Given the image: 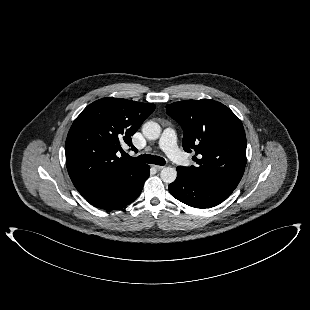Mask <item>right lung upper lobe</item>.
Instances as JSON below:
<instances>
[{
  "label": "right lung upper lobe",
  "instance_id": "cb5924a9",
  "mask_svg": "<svg viewBox=\"0 0 310 310\" xmlns=\"http://www.w3.org/2000/svg\"><path fill=\"white\" fill-rule=\"evenodd\" d=\"M151 103L102 98L88 105L73 122L65 143L69 176L83 196L126 186L146 164L123 160L116 153L154 111Z\"/></svg>",
  "mask_w": 310,
  "mask_h": 310
}]
</instances>
